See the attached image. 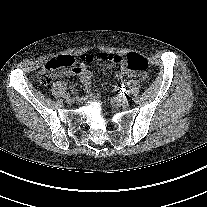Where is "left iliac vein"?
Returning a JSON list of instances; mask_svg holds the SVG:
<instances>
[{
	"mask_svg": "<svg viewBox=\"0 0 207 207\" xmlns=\"http://www.w3.org/2000/svg\"><path fill=\"white\" fill-rule=\"evenodd\" d=\"M111 103L113 106H126L130 103V100L123 96H115L111 99Z\"/></svg>",
	"mask_w": 207,
	"mask_h": 207,
	"instance_id": "left-iliac-vein-1",
	"label": "left iliac vein"
}]
</instances>
